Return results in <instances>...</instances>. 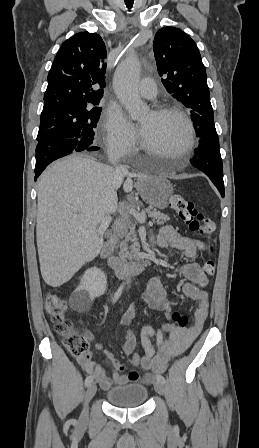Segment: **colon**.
<instances>
[{
	"label": "colon",
	"mask_w": 259,
	"mask_h": 448,
	"mask_svg": "<svg viewBox=\"0 0 259 448\" xmlns=\"http://www.w3.org/2000/svg\"><path fill=\"white\" fill-rule=\"evenodd\" d=\"M170 205L190 230L209 238L215 233L216 226L214 221L199 212L192 201L182 195L172 194ZM208 253H213L212 244L208 245ZM203 269L206 275H214L215 262L207 260L203 265ZM45 309L54 324L55 331L64 338L66 349L78 357L88 355L89 342L86 337L74 329L72 321L67 317L66 302L59 295L48 293L45 298ZM170 319L171 326L176 328L185 327L188 322L187 314L183 310L173 312ZM141 360L142 356L137 353L132 356L134 365H139Z\"/></svg>",
	"instance_id": "1"
}]
</instances>
